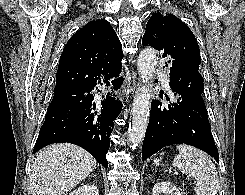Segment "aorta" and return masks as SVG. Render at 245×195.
Segmentation results:
<instances>
[{
  "instance_id": "aorta-1",
  "label": "aorta",
  "mask_w": 245,
  "mask_h": 195,
  "mask_svg": "<svg viewBox=\"0 0 245 195\" xmlns=\"http://www.w3.org/2000/svg\"><path fill=\"white\" fill-rule=\"evenodd\" d=\"M157 65V54L153 48L142 50L137 59V68L143 84L136 90L133 104L132 117L129 128V142L135 149L142 142L149 120L150 113V82L155 66Z\"/></svg>"
}]
</instances>
